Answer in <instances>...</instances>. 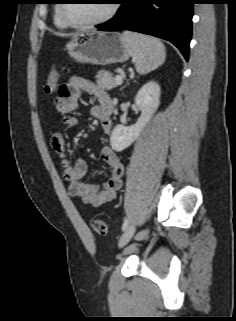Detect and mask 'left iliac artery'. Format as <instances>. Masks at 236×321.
<instances>
[{
  "label": "left iliac artery",
  "instance_id": "44dca946",
  "mask_svg": "<svg viewBox=\"0 0 236 321\" xmlns=\"http://www.w3.org/2000/svg\"><path fill=\"white\" fill-rule=\"evenodd\" d=\"M128 219H126L123 223L122 230L124 231L128 227Z\"/></svg>",
  "mask_w": 236,
  "mask_h": 321
}]
</instances>
